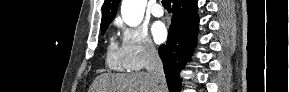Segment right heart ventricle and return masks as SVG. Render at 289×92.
<instances>
[{
    "mask_svg": "<svg viewBox=\"0 0 289 92\" xmlns=\"http://www.w3.org/2000/svg\"><path fill=\"white\" fill-rule=\"evenodd\" d=\"M107 63L115 70H122L125 68L121 49L117 47L114 41H111L107 50Z\"/></svg>",
    "mask_w": 289,
    "mask_h": 92,
    "instance_id": "e07e8e85",
    "label": "right heart ventricle"
}]
</instances>
